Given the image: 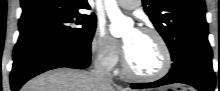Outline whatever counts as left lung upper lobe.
Segmentation results:
<instances>
[{"instance_id":"obj_1","label":"left lung upper lobe","mask_w":220,"mask_h":91,"mask_svg":"<svg viewBox=\"0 0 220 91\" xmlns=\"http://www.w3.org/2000/svg\"><path fill=\"white\" fill-rule=\"evenodd\" d=\"M142 3L165 40L172 61L184 50L210 47L204 0H142Z\"/></svg>"}]
</instances>
